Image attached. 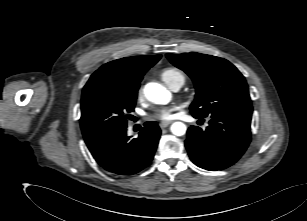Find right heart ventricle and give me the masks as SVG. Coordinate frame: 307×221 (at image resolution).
<instances>
[{
    "instance_id": "1",
    "label": "right heart ventricle",
    "mask_w": 307,
    "mask_h": 221,
    "mask_svg": "<svg viewBox=\"0 0 307 221\" xmlns=\"http://www.w3.org/2000/svg\"><path fill=\"white\" fill-rule=\"evenodd\" d=\"M160 77L169 87H171L176 82L184 83L185 81L184 74L180 70L173 67L163 69L160 72Z\"/></svg>"
}]
</instances>
